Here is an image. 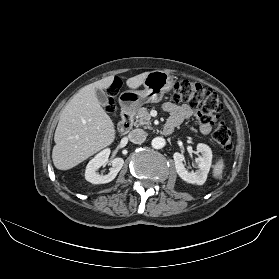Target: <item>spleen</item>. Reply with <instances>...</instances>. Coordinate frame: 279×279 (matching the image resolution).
<instances>
[{"label":"spleen","mask_w":279,"mask_h":279,"mask_svg":"<svg viewBox=\"0 0 279 279\" xmlns=\"http://www.w3.org/2000/svg\"><path fill=\"white\" fill-rule=\"evenodd\" d=\"M224 169L223 159H219L217 163L213 166V176L214 178H221Z\"/></svg>","instance_id":"obj_1"}]
</instances>
